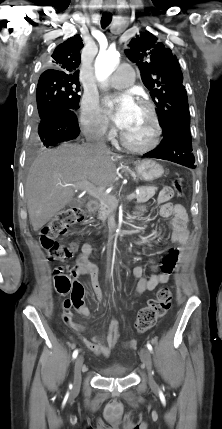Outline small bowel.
Instances as JSON below:
<instances>
[{"label":"small bowel","instance_id":"obj_1","mask_svg":"<svg viewBox=\"0 0 222 429\" xmlns=\"http://www.w3.org/2000/svg\"><path fill=\"white\" fill-rule=\"evenodd\" d=\"M160 203L159 213L162 217L170 218V240L178 245V248L169 250L162 259L159 266H153V274L150 277L143 275V268L135 266L131 270V275L137 279L135 295H140L145 291H152L160 284L168 281L169 276L173 272L177 261L182 256L183 246L188 240V215L185 208L180 204L167 202L160 194L158 196ZM143 208L140 207L139 211ZM93 253V247L90 243H84L81 246L80 252L76 257L74 266L71 269V276L76 279L78 277L88 275L90 277L91 288L99 302L104 301V293L99 282V272L97 266L90 261ZM77 282V281H76ZM79 283V282H78ZM84 291L80 293H72L71 298L66 300L62 306V319L64 323L76 332L85 331L84 326H78L73 321L72 308L84 317L90 316V311L83 299ZM119 337L118 321L111 320L105 328V332L101 336H96L91 339L82 337L81 340L85 347L94 352L96 355L109 357L115 347ZM137 340L125 342L122 345L124 350H130L137 346Z\"/></svg>","mask_w":222,"mask_h":429}]
</instances>
